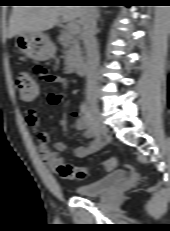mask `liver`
Returning a JSON list of instances; mask_svg holds the SVG:
<instances>
[{
    "mask_svg": "<svg viewBox=\"0 0 170 231\" xmlns=\"http://www.w3.org/2000/svg\"><path fill=\"white\" fill-rule=\"evenodd\" d=\"M81 9L82 6H14L7 37L12 38L26 31L49 30L60 17L64 22H73L80 19Z\"/></svg>",
    "mask_w": 170,
    "mask_h": 231,
    "instance_id": "6515ba94",
    "label": "liver"
}]
</instances>
